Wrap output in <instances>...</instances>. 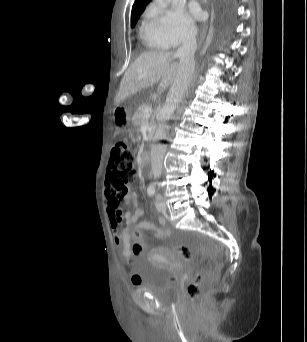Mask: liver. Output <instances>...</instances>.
Segmentation results:
<instances>
[{"instance_id":"liver-1","label":"liver","mask_w":307,"mask_h":342,"mask_svg":"<svg viewBox=\"0 0 307 342\" xmlns=\"http://www.w3.org/2000/svg\"><path fill=\"white\" fill-rule=\"evenodd\" d=\"M174 58V52H143L140 54L137 60L126 70L120 82V88L115 98L116 104H120L140 90L150 88L159 80H161L160 90H165L171 86L176 78L179 66L177 62H172Z\"/></svg>"}]
</instances>
